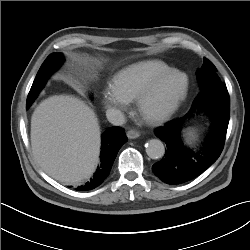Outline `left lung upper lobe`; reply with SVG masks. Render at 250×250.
<instances>
[{
	"mask_svg": "<svg viewBox=\"0 0 250 250\" xmlns=\"http://www.w3.org/2000/svg\"><path fill=\"white\" fill-rule=\"evenodd\" d=\"M216 72V67L208 59L204 58V63L197 72L200 90L208 86L222 83Z\"/></svg>",
	"mask_w": 250,
	"mask_h": 250,
	"instance_id": "5c2ea615",
	"label": "left lung upper lobe"
}]
</instances>
